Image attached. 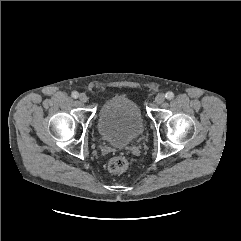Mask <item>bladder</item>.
<instances>
[{"instance_id":"bladder-1","label":"bladder","mask_w":241,"mask_h":241,"mask_svg":"<svg viewBox=\"0 0 241 241\" xmlns=\"http://www.w3.org/2000/svg\"><path fill=\"white\" fill-rule=\"evenodd\" d=\"M97 129L104 141L124 147L141 136L144 122L134 101L125 95H116L99 108Z\"/></svg>"}]
</instances>
